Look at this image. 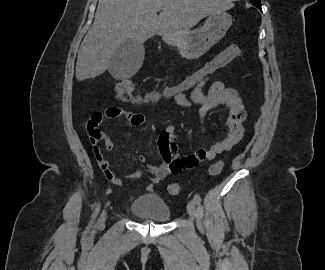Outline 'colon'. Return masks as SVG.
I'll return each mask as SVG.
<instances>
[{
	"label": "colon",
	"mask_w": 325,
	"mask_h": 270,
	"mask_svg": "<svg viewBox=\"0 0 325 270\" xmlns=\"http://www.w3.org/2000/svg\"><path fill=\"white\" fill-rule=\"evenodd\" d=\"M241 55V50L237 45H230L225 50L206 62L202 67L187 75L182 81L165 86L161 89L151 90L144 94H135V84L131 79H122L116 85V97L120 101L135 105L155 104L167 100H175L176 97L186 94L205 82L217 70L224 67L233 59ZM89 131L92 144L97 143L102 138V133L98 128ZM223 162L218 161L212 164L208 170L210 176L218 175L223 169ZM168 191L171 195H178L181 187L177 183L169 185Z\"/></svg>",
	"instance_id": "1"
}]
</instances>
